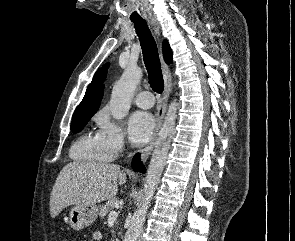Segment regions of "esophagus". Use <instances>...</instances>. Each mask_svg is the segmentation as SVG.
I'll use <instances>...</instances> for the list:
<instances>
[{"mask_svg": "<svg viewBox=\"0 0 295 241\" xmlns=\"http://www.w3.org/2000/svg\"><path fill=\"white\" fill-rule=\"evenodd\" d=\"M149 22L152 25L155 34L157 36H159L160 31H159V26L157 25L156 21L154 19H150ZM162 71H163V78H164V84H165L164 93H163L162 99L159 102L158 107H157L155 132L153 134L152 139L148 143V145L146 147H144V149H142V151H141V159L143 162H145L148 159V157L150 156V154L153 150V147L155 145V142H156V139L158 136V132H159V130L162 126V123H163V119H164L166 107H167V102H168L169 95L171 92V73H170V69H169L168 65L164 61H162Z\"/></svg>", "mask_w": 295, "mask_h": 241, "instance_id": "obj_1", "label": "esophagus"}]
</instances>
